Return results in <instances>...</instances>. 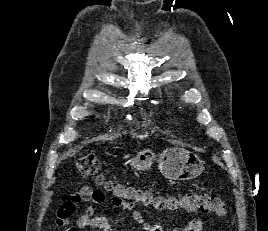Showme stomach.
Here are the masks:
<instances>
[{
    "mask_svg": "<svg viewBox=\"0 0 268 231\" xmlns=\"http://www.w3.org/2000/svg\"><path fill=\"white\" fill-rule=\"evenodd\" d=\"M157 161L161 174L170 181H185L198 177L204 170V162L193 152L180 147L167 148L158 156L146 149L130 160L136 170H147Z\"/></svg>",
    "mask_w": 268,
    "mask_h": 231,
    "instance_id": "1",
    "label": "stomach"
}]
</instances>
